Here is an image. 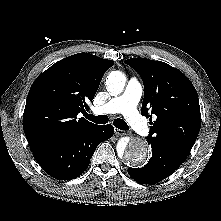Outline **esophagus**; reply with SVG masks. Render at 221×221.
Here are the masks:
<instances>
[{"label":"esophagus","mask_w":221,"mask_h":221,"mask_svg":"<svg viewBox=\"0 0 221 221\" xmlns=\"http://www.w3.org/2000/svg\"><path fill=\"white\" fill-rule=\"evenodd\" d=\"M114 132H115V135H120V136L125 134V132L123 130L118 129V128H115Z\"/></svg>","instance_id":"esophagus-1"}]
</instances>
